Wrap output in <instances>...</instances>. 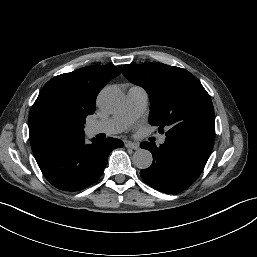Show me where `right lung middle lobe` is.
Segmentation results:
<instances>
[{"label":"right lung middle lobe","mask_w":257,"mask_h":257,"mask_svg":"<svg viewBox=\"0 0 257 257\" xmlns=\"http://www.w3.org/2000/svg\"><path fill=\"white\" fill-rule=\"evenodd\" d=\"M49 119L56 125H70L77 121L72 112L60 108L53 109L49 114Z\"/></svg>","instance_id":"right-lung-middle-lobe-1"}]
</instances>
